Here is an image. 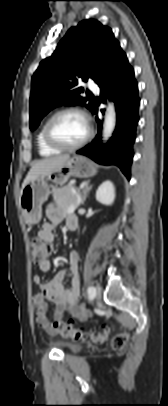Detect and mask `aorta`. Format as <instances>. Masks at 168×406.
Segmentation results:
<instances>
[{
  "mask_svg": "<svg viewBox=\"0 0 168 406\" xmlns=\"http://www.w3.org/2000/svg\"><path fill=\"white\" fill-rule=\"evenodd\" d=\"M116 124V112L113 103H108L104 120L103 140L107 141L111 136Z\"/></svg>",
  "mask_w": 168,
  "mask_h": 406,
  "instance_id": "762f6f07",
  "label": "aorta"
}]
</instances>
